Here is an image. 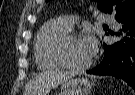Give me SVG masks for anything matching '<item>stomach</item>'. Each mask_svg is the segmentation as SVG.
<instances>
[{"label": "stomach", "mask_w": 135, "mask_h": 95, "mask_svg": "<svg viewBox=\"0 0 135 95\" xmlns=\"http://www.w3.org/2000/svg\"><path fill=\"white\" fill-rule=\"evenodd\" d=\"M95 86V80L86 77L71 78L62 83L58 95H88Z\"/></svg>", "instance_id": "1"}]
</instances>
